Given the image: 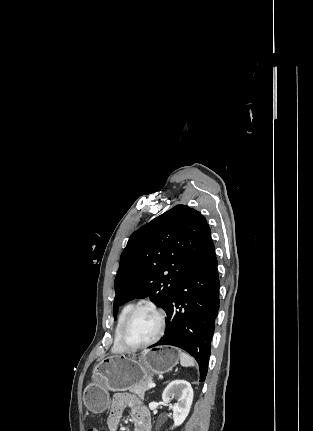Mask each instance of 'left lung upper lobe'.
<instances>
[{"label":"left lung upper lobe","instance_id":"1","mask_svg":"<svg viewBox=\"0 0 313 431\" xmlns=\"http://www.w3.org/2000/svg\"><path fill=\"white\" fill-rule=\"evenodd\" d=\"M210 237L205 217L182 204L135 231L120 257L114 318L135 297H149L165 310Z\"/></svg>","mask_w":313,"mask_h":431}]
</instances>
